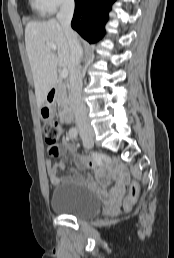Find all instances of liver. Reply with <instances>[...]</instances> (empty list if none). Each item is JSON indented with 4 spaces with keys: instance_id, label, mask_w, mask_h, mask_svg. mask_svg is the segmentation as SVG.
Here are the masks:
<instances>
[{
    "instance_id": "obj_1",
    "label": "liver",
    "mask_w": 174,
    "mask_h": 258,
    "mask_svg": "<svg viewBox=\"0 0 174 258\" xmlns=\"http://www.w3.org/2000/svg\"><path fill=\"white\" fill-rule=\"evenodd\" d=\"M47 42L56 45L57 53ZM25 44L33 74L37 106L40 108L56 84L57 67H69L70 48L63 28L56 19L29 22L25 28Z\"/></svg>"
}]
</instances>
